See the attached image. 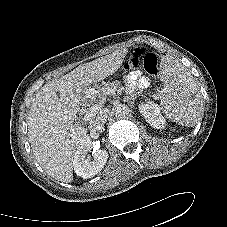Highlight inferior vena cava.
Listing matches in <instances>:
<instances>
[{
	"label": "inferior vena cava",
	"instance_id": "inferior-vena-cava-1",
	"mask_svg": "<svg viewBox=\"0 0 227 227\" xmlns=\"http://www.w3.org/2000/svg\"><path fill=\"white\" fill-rule=\"evenodd\" d=\"M108 118V114L105 111H100L94 116H91L89 121V127L91 129H100L104 126Z\"/></svg>",
	"mask_w": 227,
	"mask_h": 227
}]
</instances>
